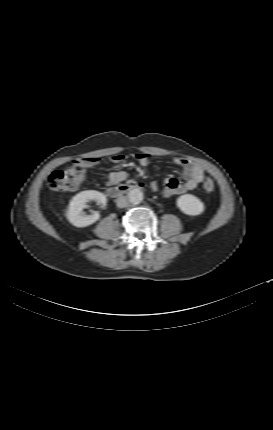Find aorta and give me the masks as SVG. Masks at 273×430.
<instances>
[{
    "instance_id": "obj_1",
    "label": "aorta",
    "mask_w": 273,
    "mask_h": 430,
    "mask_svg": "<svg viewBox=\"0 0 273 430\" xmlns=\"http://www.w3.org/2000/svg\"><path fill=\"white\" fill-rule=\"evenodd\" d=\"M144 194L141 189L134 188L128 192L127 198L130 203L137 205L142 202Z\"/></svg>"
}]
</instances>
